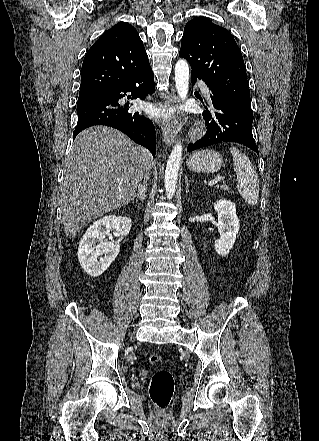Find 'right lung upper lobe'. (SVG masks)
<instances>
[{
  "label": "right lung upper lobe",
  "instance_id": "right-lung-upper-lobe-1",
  "mask_svg": "<svg viewBox=\"0 0 319 441\" xmlns=\"http://www.w3.org/2000/svg\"><path fill=\"white\" fill-rule=\"evenodd\" d=\"M136 29L119 22L88 50L82 64L77 104L92 101L150 70Z\"/></svg>",
  "mask_w": 319,
  "mask_h": 441
}]
</instances>
